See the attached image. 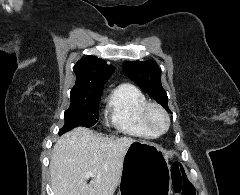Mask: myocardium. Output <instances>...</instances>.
Segmentation results:
<instances>
[{
    "instance_id": "myocardium-1",
    "label": "myocardium",
    "mask_w": 240,
    "mask_h": 195,
    "mask_svg": "<svg viewBox=\"0 0 240 195\" xmlns=\"http://www.w3.org/2000/svg\"><path fill=\"white\" fill-rule=\"evenodd\" d=\"M154 113L160 114L161 117L163 118L164 126L162 128H159L154 125L152 120ZM142 119L144 124L149 129L154 131L157 135L165 133L168 130L170 125L168 113L162 106H160L157 103H146V105L142 109Z\"/></svg>"
}]
</instances>
